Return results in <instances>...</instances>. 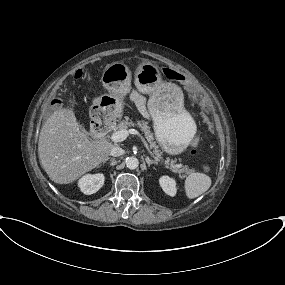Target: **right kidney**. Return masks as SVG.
<instances>
[{
    "label": "right kidney",
    "mask_w": 285,
    "mask_h": 285,
    "mask_svg": "<svg viewBox=\"0 0 285 285\" xmlns=\"http://www.w3.org/2000/svg\"><path fill=\"white\" fill-rule=\"evenodd\" d=\"M104 180V175L101 173L88 174L78 181V186L84 194L91 195L96 193L103 186Z\"/></svg>",
    "instance_id": "1"
}]
</instances>
